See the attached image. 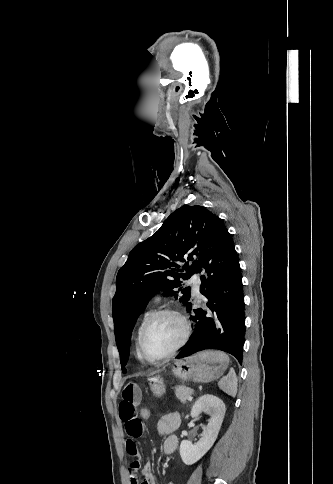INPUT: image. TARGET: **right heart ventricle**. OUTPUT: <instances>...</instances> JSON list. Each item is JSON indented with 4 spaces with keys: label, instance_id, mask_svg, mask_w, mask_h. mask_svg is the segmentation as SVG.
Here are the masks:
<instances>
[{
    "label": "right heart ventricle",
    "instance_id": "right-heart-ventricle-1",
    "mask_svg": "<svg viewBox=\"0 0 333 484\" xmlns=\"http://www.w3.org/2000/svg\"><path fill=\"white\" fill-rule=\"evenodd\" d=\"M155 312V309L153 306H150L148 309L145 310L143 313L136 329L135 333V339H134V348H135V354L140 360H144L143 357L141 356L139 352V338H140V333L142 330L143 325L147 321V319Z\"/></svg>",
    "mask_w": 333,
    "mask_h": 484
}]
</instances>
